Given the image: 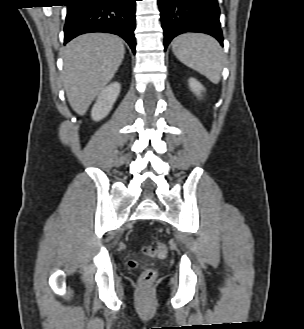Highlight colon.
Returning a JSON list of instances; mask_svg holds the SVG:
<instances>
[{"label":"colon","mask_w":304,"mask_h":329,"mask_svg":"<svg viewBox=\"0 0 304 329\" xmlns=\"http://www.w3.org/2000/svg\"><path fill=\"white\" fill-rule=\"evenodd\" d=\"M143 251L146 255L157 259H164L168 254L167 247L162 242H154L151 244H147L144 246ZM128 266L130 268H135L137 266V263L134 260H130L128 262ZM155 277L156 274L153 269L145 268L139 276V281L141 284L147 285L151 284L155 280Z\"/></svg>","instance_id":"obj_1"}]
</instances>
